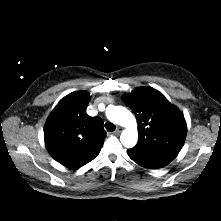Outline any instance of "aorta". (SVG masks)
Segmentation results:
<instances>
[{
	"label": "aorta",
	"mask_w": 221,
	"mask_h": 221,
	"mask_svg": "<svg viewBox=\"0 0 221 221\" xmlns=\"http://www.w3.org/2000/svg\"><path fill=\"white\" fill-rule=\"evenodd\" d=\"M107 118L120 126L125 127L120 136L122 145L132 148L138 141L137 123L133 114L123 106L110 105L106 111Z\"/></svg>",
	"instance_id": "762f6f07"
}]
</instances>
